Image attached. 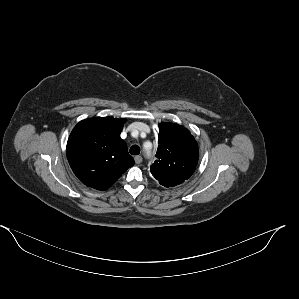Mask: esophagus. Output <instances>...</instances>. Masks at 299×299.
I'll list each match as a JSON object with an SVG mask.
<instances>
[{
    "label": "esophagus",
    "instance_id": "1",
    "mask_svg": "<svg viewBox=\"0 0 299 299\" xmlns=\"http://www.w3.org/2000/svg\"><path fill=\"white\" fill-rule=\"evenodd\" d=\"M134 160H135L136 164H140L142 162V157L141 156H135Z\"/></svg>",
    "mask_w": 299,
    "mask_h": 299
}]
</instances>
